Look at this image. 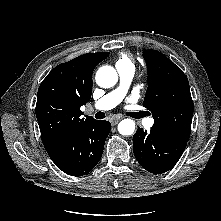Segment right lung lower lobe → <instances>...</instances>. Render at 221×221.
<instances>
[{"mask_svg": "<svg viewBox=\"0 0 221 221\" xmlns=\"http://www.w3.org/2000/svg\"><path fill=\"white\" fill-rule=\"evenodd\" d=\"M110 128L108 121H90L46 151L60 170L72 176H82L99 162Z\"/></svg>", "mask_w": 221, "mask_h": 221, "instance_id": "98d812e1", "label": "right lung lower lobe"}]
</instances>
